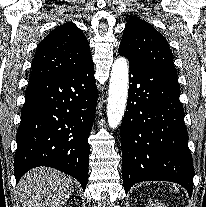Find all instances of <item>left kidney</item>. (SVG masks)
Returning <instances> with one entry per match:
<instances>
[{
	"label": "left kidney",
	"instance_id": "1",
	"mask_svg": "<svg viewBox=\"0 0 206 207\" xmlns=\"http://www.w3.org/2000/svg\"><path fill=\"white\" fill-rule=\"evenodd\" d=\"M146 207H166L162 205L158 200L149 201Z\"/></svg>",
	"mask_w": 206,
	"mask_h": 207
}]
</instances>
